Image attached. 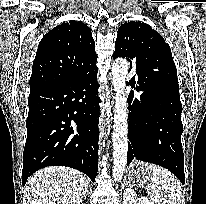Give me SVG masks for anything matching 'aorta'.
<instances>
[{
  "mask_svg": "<svg viewBox=\"0 0 206 204\" xmlns=\"http://www.w3.org/2000/svg\"><path fill=\"white\" fill-rule=\"evenodd\" d=\"M129 63L126 59L118 58L112 65L113 87L115 92V110L113 125V170L115 181L123 177L127 164L128 151V114L127 97L125 93L126 78Z\"/></svg>",
  "mask_w": 206,
  "mask_h": 204,
  "instance_id": "1",
  "label": "aorta"
}]
</instances>
